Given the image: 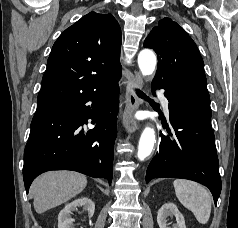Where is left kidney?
Returning a JSON list of instances; mask_svg holds the SVG:
<instances>
[{
  "mask_svg": "<svg viewBox=\"0 0 238 228\" xmlns=\"http://www.w3.org/2000/svg\"><path fill=\"white\" fill-rule=\"evenodd\" d=\"M175 216L176 225L169 227L167 224L168 216ZM157 223L160 228H186L183 215L179 212L176 205L172 202L164 203L158 211Z\"/></svg>",
  "mask_w": 238,
  "mask_h": 228,
  "instance_id": "5707ae66",
  "label": "left kidney"
}]
</instances>
